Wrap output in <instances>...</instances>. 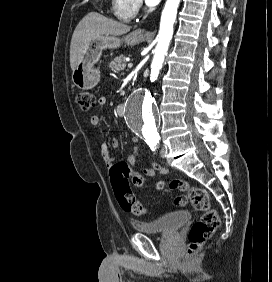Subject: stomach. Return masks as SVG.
Returning <instances> with one entry per match:
<instances>
[{
  "label": "stomach",
  "instance_id": "0dacf381",
  "mask_svg": "<svg viewBox=\"0 0 272 282\" xmlns=\"http://www.w3.org/2000/svg\"><path fill=\"white\" fill-rule=\"evenodd\" d=\"M146 35L140 31H134L123 38L113 35H102L93 39L81 59L73 70L72 81L79 89L89 90L95 87L100 81V72L94 65L100 60L102 51L109 48H118L122 43L135 45L142 42Z\"/></svg>",
  "mask_w": 272,
  "mask_h": 282
}]
</instances>
